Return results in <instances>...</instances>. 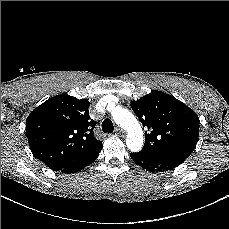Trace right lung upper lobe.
I'll use <instances>...</instances> for the list:
<instances>
[{
  "instance_id": "right-lung-upper-lobe-1",
  "label": "right lung upper lobe",
  "mask_w": 229,
  "mask_h": 229,
  "mask_svg": "<svg viewBox=\"0 0 229 229\" xmlns=\"http://www.w3.org/2000/svg\"><path fill=\"white\" fill-rule=\"evenodd\" d=\"M89 101L68 94L49 98L26 119V136L33 155L50 169L65 166L102 146L93 134Z\"/></svg>"
}]
</instances>
